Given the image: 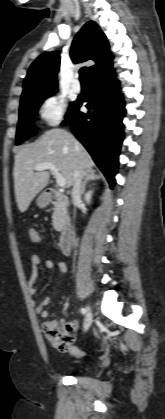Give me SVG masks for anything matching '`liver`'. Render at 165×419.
<instances>
[{"mask_svg": "<svg viewBox=\"0 0 165 419\" xmlns=\"http://www.w3.org/2000/svg\"><path fill=\"white\" fill-rule=\"evenodd\" d=\"M47 162L57 167L68 188L73 185L76 170L85 176L94 166L90 154L71 133L59 128L46 131L15 155L14 190L20 212H25L35 196L47 186L51 173L47 169L34 172L36 165Z\"/></svg>", "mask_w": 165, "mask_h": 419, "instance_id": "1", "label": "liver"}]
</instances>
